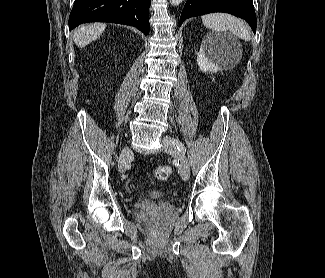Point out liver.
Here are the masks:
<instances>
[{"mask_svg":"<svg viewBox=\"0 0 325 278\" xmlns=\"http://www.w3.org/2000/svg\"><path fill=\"white\" fill-rule=\"evenodd\" d=\"M106 25L103 23H92L76 28L73 33L75 44L83 48L90 42L96 40L104 32Z\"/></svg>","mask_w":325,"mask_h":278,"instance_id":"obj_1","label":"liver"}]
</instances>
